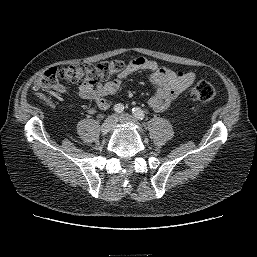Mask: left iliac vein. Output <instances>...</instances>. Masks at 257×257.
Instances as JSON below:
<instances>
[{
  "label": "left iliac vein",
  "mask_w": 257,
  "mask_h": 257,
  "mask_svg": "<svg viewBox=\"0 0 257 257\" xmlns=\"http://www.w3.org/2000/svg\"><path fill=\"white\" fill-rule=\"evenodd\" d=\"M119 122L122 124H132V125L139 126L137 120L133 116L128 114H121L119 116ZM140 133H143V130L141 128H140Z\"/></svg>",
  "instance_id": "4c4485c4"
}]
</instances>
